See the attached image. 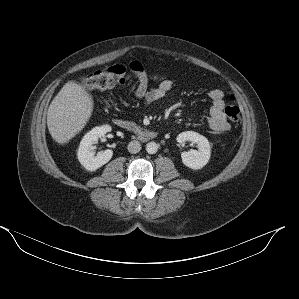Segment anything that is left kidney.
<instances>
[{"instance_id":"1","label":"left kidney","mask_w":299,"mask_h":299,"mask_svg":"<svg viewBox=\"0 0 299 299\" xmlns=\"http://www.w3.org/2000/svg\"><path fill=\"white\" fill-rule=\"evenodd\" d=\"M178 143L184 144L186 141L197 144L198 150H189L181 154L182 163L194 170L203 168L209 161L211 149L209 141L203 135L194 131H185L176 138Z\"/></svg>"}]
</instances>
